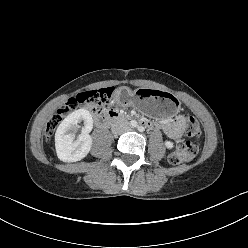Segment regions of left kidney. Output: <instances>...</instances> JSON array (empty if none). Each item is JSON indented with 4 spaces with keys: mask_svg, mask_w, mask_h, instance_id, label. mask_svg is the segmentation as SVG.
Listing matches in <instances>:
<instances>
[{
    "mask_svg": "<svg viewBox=\"0 0 248 248\" xmlns=\"http://www.w3.org/2000/svg\"><path fill=\"white\" fill-rule=\"evenodd\" d=\"M165 146L169 149H172L173 148V142L171 141H165Z\"/></svg>",
    "mask_w": 248,
    "mask_h": 248,
    "instance_id": "obj_1",
    "label": "left kidney"
}]
</instances>
